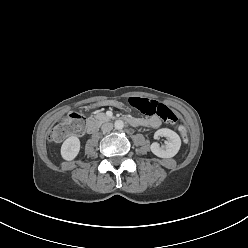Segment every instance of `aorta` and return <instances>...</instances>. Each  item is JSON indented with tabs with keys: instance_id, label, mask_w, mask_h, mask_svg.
<instances>
[{
	"instance_id": "obj_1",
	"label": "aorta",
	"mask_w": 248,
	"mask_h": 248,
	"mask_svg": "<svg viewBox=\"0 0 248 248\" xmlns=\"http://www.w3.org/2000/svg\"><path fill=\"white\" fill-rule=\"evenodd\" d=\"M114 127L117 130H121L124 127V122L122 120H116L114 123Z\"/></svg>"
}]
</instances>
